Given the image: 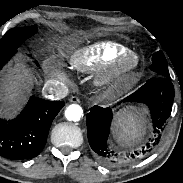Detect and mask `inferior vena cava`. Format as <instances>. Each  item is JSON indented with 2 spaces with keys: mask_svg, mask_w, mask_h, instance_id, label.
Returning <instances> with one entry per match:
<instances>
[{
  "mask_svg": "<svg viewBox=\"0 0 183 183\" xmlns=\"http://www.w3.org/2000/svg\"><path fill=\"white\" fill-rule=\"evenodd\" d=\"M68 94V88L63 83L48 82L44 85L42 95L51 100H60Z\"/></svg>",
  "mask_w": 183,
  "mask_h": 183,
  "instance_id": "obj_1",
  "label": "inferior vena cava"
}]
</instances>
